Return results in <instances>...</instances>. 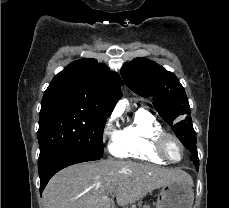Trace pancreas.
<instances>
[{
	"instance_id": "cf45deb5",
	"label": "pancreas",
	"mask_w": 229,
	"mask_h": 208,
	"mask_svg": "<svg viewBox=\"0 0 229 208\" xmlns=\"http://www.w3.org/2000/svg\"><path fill=\"white\" fill-rule=\"evenodd\" d=\"M143 208H150V206H143Z\"/></svg>"
}]
</instances>
